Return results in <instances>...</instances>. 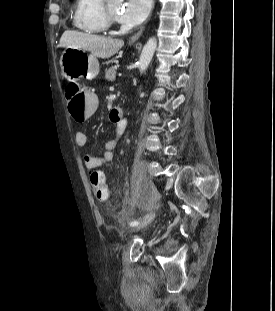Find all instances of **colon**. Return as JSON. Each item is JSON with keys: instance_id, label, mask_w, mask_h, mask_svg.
Wrapping results in <instances>:
<instances>
[{"instance_id": "1", "label": "colon", "mask_w": 275, "mask_h": 311, "mask_svg": "<svg viewBox=\"0 0 275 311\" xmlns=\"http://www.w3.org/2000/svg\"><path fill=\"white\" fill-rule=\"evenodd\" d=\"M66 96L73 121H90L91 117H94L98 103L96 92H85L78 86L70 84ZM90 184L93 194L99 201L108 200L109 191L102 172L93 171L90 174Z\"/></svg>"}]
</instances>
